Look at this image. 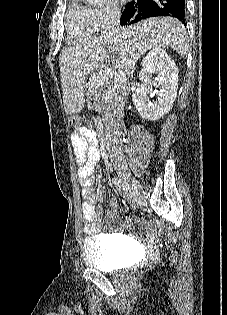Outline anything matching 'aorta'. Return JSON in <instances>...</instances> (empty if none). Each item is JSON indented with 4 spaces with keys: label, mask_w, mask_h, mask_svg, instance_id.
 Returning <instances> with one entry per match:
<instances>
[{
    "label": "aorta",
    "mask_w": 227,
    "mask_h": 315,
    "mask_svg": "<svg viewBox=\"0 0 227 315\" xmlns=\"http://www.w3.org/2000/svg\"><path fill=\"white\" fill-rule=\"evenodd\" d=\"M89 4L92 5H101L103 4L106 0H86Z\"/></svg>",
    "instance_id": "aorta-1"
}]
</instances>
